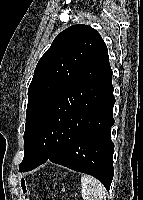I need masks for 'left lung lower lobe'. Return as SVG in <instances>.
Returning a JSON list of instances; mask_svg holds the SVG:
<instances>
[{"mask_svg":"<svg viewBox=\"0 0 143 200\" xmlns=\"http://www.w3.org/2000/svg\"><path fill=\"white\" fill-rule=\"evenodd\" d=\"M114 104L112 70L104 47L41 113L34 127L31 159L20 172L50 160L96 177L109 190L114 173L110 136Z\"/></svg>","mask_w":143,"mask_h":200,"instance_id":"left-lung-lower-lobe-1","label":"left lung lower lobe"}]
</instances>
